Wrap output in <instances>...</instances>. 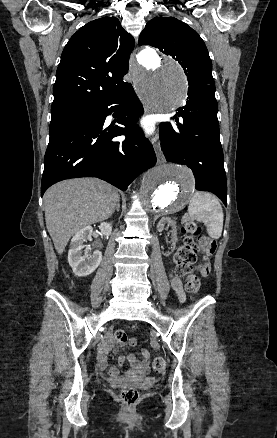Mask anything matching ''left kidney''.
<instances>
[{
  "instance_id": "obj_1",
  "label": "left kidney",
  "mask_w": 277,
  "mask_h": 438,
  "mask_svg": "<svg viewBox=\"0 0 277 438\" xmlns=\"http://www.w3.org/2000/svg\"><path fill=\"white\" fill-rule=\"evenodd\" d=\"M165 224H167V226H172L173 246H175L177 242L176 222H173L171 218H161L160 222L157 224L158 232H163V230H165Z\"/></svg>"
}]
</instances>
